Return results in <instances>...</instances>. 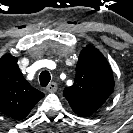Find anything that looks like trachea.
Here are the masks:
<instances>
[{"label": "trachea", "mask_w": 133, "mask_h": 133, "mask_svg": "<svg viewBox=\"0 0 133 133\" xmlns=\"http://www.w3.org/2000/svg\"><path fill=\"white\" fill-rule=\"evenodd\" d=\"M50 79H51L50 73L48 71H43L39 76L40 85L42 87H46L50 82Z\"/></svg>", "instance_id": "1"}]
</instances>
